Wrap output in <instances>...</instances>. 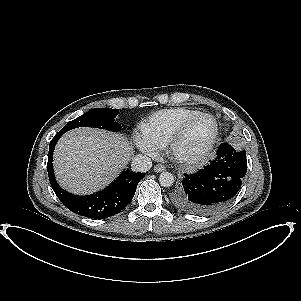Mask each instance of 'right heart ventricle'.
I'll return each mask as SVG.
<instances>
[{
  "label": "right heart ventricle",
  "instance_id": "obj_1",
  "mask_svg": "<svg viewBox=\"0 0 301 301\" xmlns=\"http://www.w3.org/2000/svg\"><path fill=\"white\" fill-rule=\"evenodd\" d=\"M199 113L201 112L183 107L159 110L144 120L141 130L154 145L164 148L178 127Z\"/></svg>",
  "mask_w": 301,
  "mask_h": 301
}]
</instances>
